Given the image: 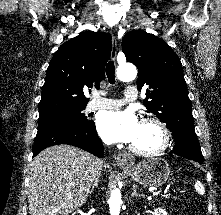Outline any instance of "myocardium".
<instances>
[{
	"label": "myocardium",
	"instance_id": "f54148a6",
	"mask_svg": "<svg viewBox=\"0 0 221 215\" xmlns=\"http://www.w3.org/2000/svg\"><path fill=\"white\" fill-rule=\"evenodd\" d=\"M141 123H151V124L156 125L161 132L162 142L157 148H154L151 150L140 149L131 144L129 147L130 150L133 153L140 155V156H144V157H152V156H156L164 152L169 147L170 142H171V133H170L169 128L165 124V122L162 121L158 117L147 116L141 119Z\"/></svg>",
	"mask_w": 221,
	"mask_h": 215
}]
</instances>
